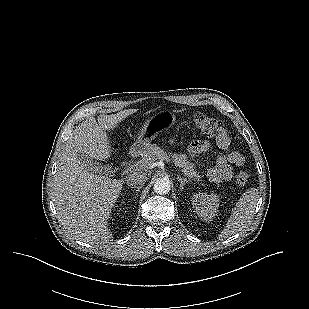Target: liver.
Wrapping results in <instances>:
<instances>
[{"label": "liver", "mask_w": 309, "mask_h": 309, "mask_svg": "<svg viewBox=\"0 0 309 309\" xmlns=\"http://www.w3.org/2000/svg\"><path fill=\"white\" fill-rule=\"evenodd\" d=\"M127 109L83 121L72 133L60 155L53 184V202L61 224L75 238L90 244L112 240L108 218L123 186V180L110 179L87 171L78 160L83 153L96 160L110 157L112 146L106 130L135 113Z\"/></svg>", "instance_id": "6515ba94"}]
</instances>
